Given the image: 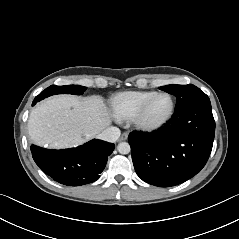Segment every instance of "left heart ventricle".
Masks as SVG:
<instances>
[{
    "label": "left heart ventricle",
    "instance_id": "b2bd125f",
    "mask_svg": "<svg viewBox=\"0 0 239 239\" xmlns=\"http://www.w3.org/2000/svg\"><path fill=\"white\" fill-rule=\"evenodd\" d=\"M170 100L166 96H160L154 99L149 105L145 118L149 122L161 120L169 111Z\"/></svg>",
    "mask_w": 239,
    "mask_h": 239
}]
</instances>
